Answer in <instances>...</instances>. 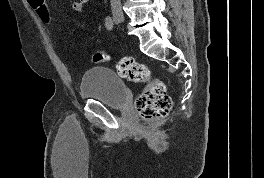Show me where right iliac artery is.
I'll return each instance as SVG.
<instances>
[{"mask_svg": "<svg viewBox=\"0 0 264 178\" xmlns=\"http://www.w3.org/2000/svg\"><path fill=\"white\" fill-rule=\"evenodd\" d=\"M105 26L108 30H112L113 27H114V23H113V20L110 16H108L106 19H105Z\"/></svg>", "mask_w": 264, "mask_h": 178, "instance_id": "obj_1", "label": "right iliac artery"}]
</instances>
